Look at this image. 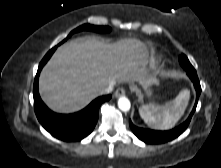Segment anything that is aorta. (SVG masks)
Returning a JSON list of instances; mask_svg holds the SVG:
<instances>
[{"label":"aorta","instance_id":"aorta-1","mask_svg":"<svg viewBox=\"0 0 221 168\" xmlns=\"http://www.w3.org/2000/svg\"><path fill=\"white\" fill-rule=\"evenodd\" d=\"M118 107L120 110L127 112L130 110L131 104L128 98L120 97L118 100Z\"/></svg>","mask_w":221,"mask_h":168}]
</instances>
